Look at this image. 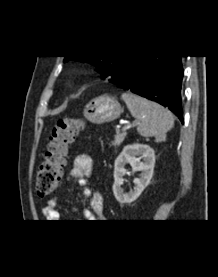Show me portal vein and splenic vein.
<instances>
[{"label":"portal vein and splenic vein","instance_id":"portal-vein-and-splenic-vein-1","mask_svg":"<svg viewBox=\"0 0 218 277\" xmlns=\"http://www.w3.org/2000/svg\"><path fill=\"white\" fill-rule=\"evenodd\" d=\"M130 127H131V125L124 126V127L122 128V130L125 131V130L129 129Z\"/></svg>","mask_w":218,"mask_h":277}]
</instances>
